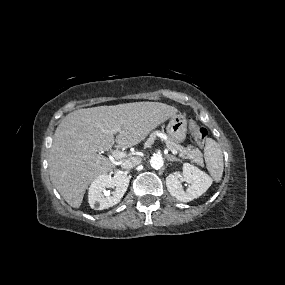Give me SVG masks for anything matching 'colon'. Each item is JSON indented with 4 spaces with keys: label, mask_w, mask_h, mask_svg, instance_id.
<instances>
[{
    "label": "colon",
    "mask_w": 285,
    "mask_h": 285,
    "mask_svg": "<svg viewBox=\"0 0 285 285\" xmlns=\"http://www.w3.org/2000/svg\"><path fill=\"white\" fill-rule=\"evenodd\" d=\"M189 133L194 137L195 141L199 145L204 146L206 144L208 138L207 129L200 126L193 120L189 122Z\"/></svg>",
    "instance_id": "5ec220e1"
}]
</instances>
